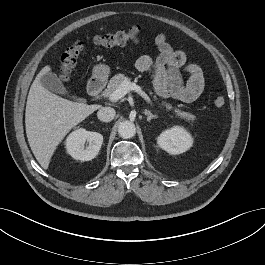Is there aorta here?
<instances>
[{"label": "aorta", "mask_w": 265, "mask_h": 265, "mask_svg": "<svg viewBox=\"0 0 265 265\" xmlns=\"http://www.w3.org/2000/svg\"><path fill=\"white\" fill-rule=\"evenodd\" d=\"M119 135L124 139L132 138L136 133V128L133 122L123 121L118 127Z\"/></svg>", "instance_id": "obj_1"}]
</instances>
